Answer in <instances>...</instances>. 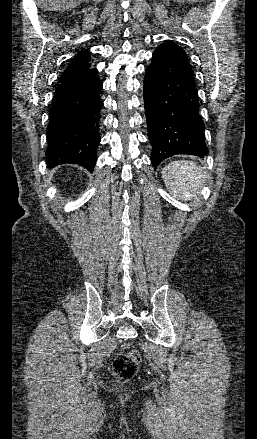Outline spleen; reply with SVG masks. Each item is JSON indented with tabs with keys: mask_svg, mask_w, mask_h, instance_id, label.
I'll list each match as a JSON object with an SVG mask.
<instances>
[{
	"mask_svg": "<svg viewBox=\"0 0 257 439\" xmlns=\"http://www.w3.org/2000/svg\"><path fill=\"white\" fill-rule=\"evenodd\" d=\"M161 174L170 193L182 201L191 200L199 194L207 179L201 166L185 160L165 165Z\"/></svg>",
	"mask_w": 257,
	"mask_h": 439,
	"instance_id": "obj_1",
	"label": "spleen"
}]
</instances>
